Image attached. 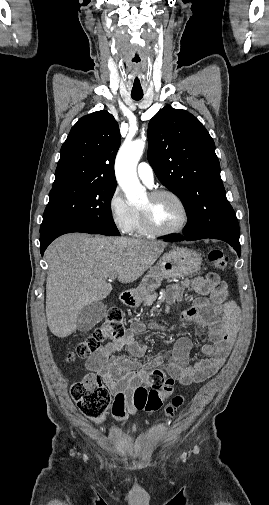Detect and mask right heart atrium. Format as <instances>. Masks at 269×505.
Returning a JSON list of instances; mask_svg holds the SVG:
<instances>
[{
    "label": "right heart atrium",
    "instance_id": "d8ad5b80",
    "mask_svg": "<svg viewBox=\"0 0 269 505\" xmlns=\"http://www.w3.org/2000/svg\"><path fill=\"white\" fill-rule=\"evenodd\" d=\"M108 212L112 223L120 232L131 231L135 209L127 202L119 187H115L109 196Z\"/></svg>",
    "mask_w": 269,
    "mask_h": 505
}]
</instances>
